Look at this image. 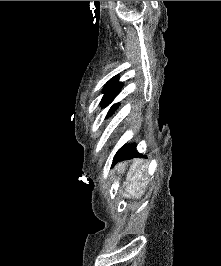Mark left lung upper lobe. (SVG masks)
<instances>
[{
	"instance_id": "obj_1",
	"label": "left lung upper lobe",
	"mask_w": 221,
	"mask_h": 266,
	"mask_svg": "<svg viewBox=\"0 0 221 266\" xmlns=\"http://www.w3.org/2000/svg\"><path fill=\"white\" fill-rule=\"evenodd\" d=\"M118 79L119 78L115 76L112 79H110L105 85L104 90H103L104 96L101 101V105L103 107H106L107 105H109L112 102V100L116 97V95L119 93V91L121 90L122 83L118 82ZM118 106H119V103L114 104L110 108L107 114V117L111 116Z\"/></svg>"
}]
</instances>
